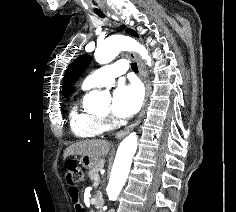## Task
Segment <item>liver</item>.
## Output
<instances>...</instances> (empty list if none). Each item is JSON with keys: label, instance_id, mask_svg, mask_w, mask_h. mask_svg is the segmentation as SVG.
<instances>
[{"label": "liver", "instance_id": "6515ba94", "mask_svg": "<svg viewBox=\"0 0 236 212\" xmlns=\"http://www.w3.org/2000/svg\"><path fill=\"white\" fill-rule=\"evenodd\" d=\"M110 142L100 139L84 140L70 145L64 151V160L70 155H90L96 158L109 153Z\"/></svg>", "mask_w": 236, "mask_h": 212}]
</instances>
